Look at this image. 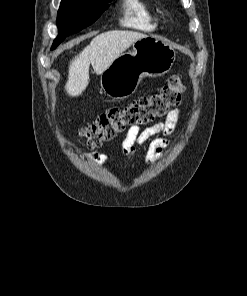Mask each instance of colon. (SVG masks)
<instances>
[{"instance_id": "1", "label": "colon", "mask_w": 247, "mask_h": 296, "mask_svg": "<svg viewBox=\"0 0 247 296\" xmlns=\"http://www.w3.org/2000/svg\"><path fill=\"white\" fill-rule=\"evenodd\" d=\"M184 86L180 76H171L157 92L138 98L124 107L101 113L82 131L87 149H95L129 126H139L164 117L179 101Z\"/></svg>"}]
</instances>
